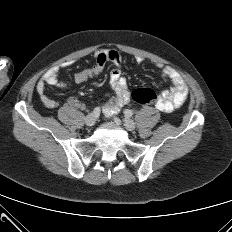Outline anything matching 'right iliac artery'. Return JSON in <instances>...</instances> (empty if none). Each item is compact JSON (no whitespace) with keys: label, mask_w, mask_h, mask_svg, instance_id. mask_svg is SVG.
Wrapping results in <instances>:
<instances>
[{"label":"right iliac artery","mask_w":232,"mask_h":232,"mask_svg":"<svg viewBox=\"0 0 232 232\" xmlns=\"http://www.w3.org/2000/svg\"><path fill=\"white\" fill-rule=\"evenodd\" d=\"M100 108L99 107H96L94 110H93V115L95 117H98L100 115Z\"/></svg>","instance_id":"right-iliac-artery-1"}]
</instances>
